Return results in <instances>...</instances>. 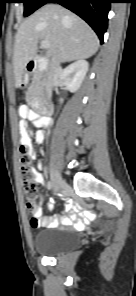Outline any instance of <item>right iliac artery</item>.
<instances>
[{
    "label": "right iliac artery",
    "instance_id": "82829eb1",
    "mask_svg": "<svg viewBox=\"0 0 136 296\" xmlns=\"http://www.w3.org/2000/svg\"><path fill=\"white\" fill-rule=\"evenodd\" d=\"M47 189H48V190L52 189V183H51V181H49V182L47 183Z\"/></svg>",
    "mask_w": 136,
    "mask_h": 296
}]
</instances>
